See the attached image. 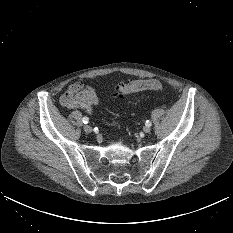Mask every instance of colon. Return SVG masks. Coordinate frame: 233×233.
I'll use <instances>...</instances> for the list:
<instances>
[{"label":"colon","instance_id":"colon-1","mask_svg":"<svg viewBox=\"0 0 233 233\" xmlns=\"http://www.w3.org/2000/svg\"><path fill=\"white\" fill-rule=\"evenodd\" d=\"M144 90L162 91L163 85L157 80H130L114 85V95L119 98Z\"/></svg>","mask_w":233,"mask_h":233}]
</instances>
